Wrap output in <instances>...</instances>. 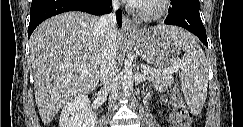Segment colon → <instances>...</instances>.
Segmentation results:
<instances>
[{"label": "colon", "instance_id": "5ec220e1", "mask_svg": "<svg viewBox=\"0 0 243 127\" xmlns=\"http://www.w3.org/2000/svg\"><path fill=\"white\" fill-rule=\"evenodd\" d=\"M173 110L170 113L169 124L172 127H189L191 126V113L184 104L180 93L173 89L171 93Z\"/></svg>", "mask_w": 243, "mask_h": 127}]
</instances>
